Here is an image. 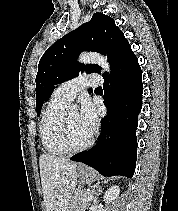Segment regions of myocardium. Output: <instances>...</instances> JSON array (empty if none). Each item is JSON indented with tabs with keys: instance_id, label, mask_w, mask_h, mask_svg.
I'll return each instance as SVG.
<instances>
[{
	"instance_id": "1",
	"label": "myocardium",
	"mask_w": 178,
	"mask_h": 211,
	"mask_svg": "<svg viewBox=\"0 0 178 211\" xmlns=\"http://www.w3.org/2000/svg\"><path fill=\"white\" fill-rule=\"evenodd\" d=\"M95 140V132H92L89 140L78 147H75L71 144L70 135H69V126H68V113H64L62 121H61V133H60V141L63 148L67 153H78L84 151L91 147Z\"/></svg>"
}]
</instances>
